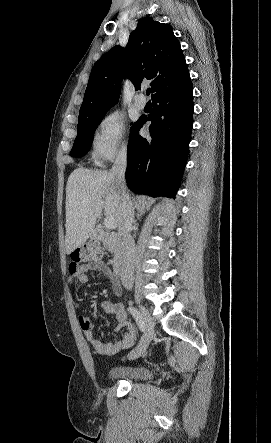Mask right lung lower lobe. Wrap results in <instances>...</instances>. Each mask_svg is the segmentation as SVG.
Instances as JSON below:
<instances>
[{
	"instance_id": "98d812e1",
	"label": "right lung lower lobe",
	"mask_w": 271,
	"mask_h": 443,
	"mask_svg": "<svg viewBox=\"0 0 271 443\" xmlns=\"http://www.w3.org/2000/svg\"><path fill=\"white\" fill-rule=\"evenodd\" d=\"M153 112L131 127L127 153L126 182L130 190L152 197L175 198L186 165L193 116V86L190 78L157 93ZM150 120V137L138 133Z\"/></svg>"
}]
</instances>
